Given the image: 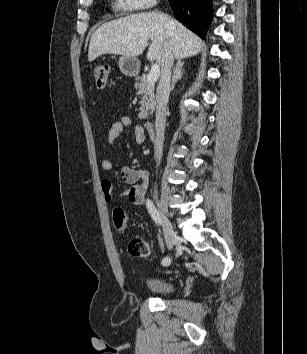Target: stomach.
Instances as JSON below:
<instances>
[{
  "mask_svg": "<svg viewBox=\"0 0 307 354\" xmlns=\"http://www.w3.org/2000/svg\"><path fill=\"white\" fill-rule=\"evenodd\" d=\"M120 71L126 76H136L139 73L140 62L136 57L122 56L118 62Z\"/></svg>",
  "mask_w": 307,
  "mask_h": 354,
  "instance_id": "stomach-1",
  "label": "stomach"
}]
</instances>
